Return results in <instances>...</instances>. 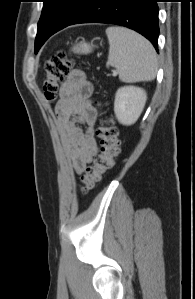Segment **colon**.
<instances>
[{"mask_svg": "<svg viewBox=\"0 0 195 299\" xmlns=\"http://www.w3.org/2000/svg\"><path fill=\"white\" fill-rule=\"evenodd\" d=\"M74 60L65 52H58L50 57L45 64L42 87L48 101L57 98L59 89L70 73ZM100 139V153L95 157L93 165L89 166L80 180V191L86 193L100 183L104 176L112 170L119 154L118 129L112 118L100 120L97 130Z\"/></svg>", "mask_w": 195, "mask_h": 299, "instance_id": "obj_1", "label": "colon"}]
</instances>
